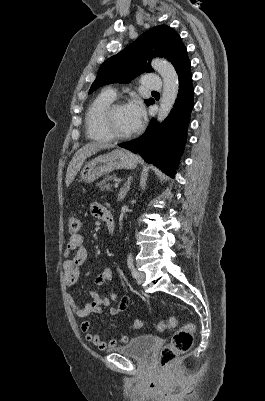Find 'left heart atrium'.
<instances>
[{"label":"left heart atrium","instance_id":"left-heart-atrium-1","mask_svg":"<svg viewBox=\"0 0 265 401\" xmlns=\"http://www.w3.org/2000/svg\"><path fill=\"white\" fill-rule=\"evenodd\" d=\"M127 116L134 129L142 124L145 112L142 102L139 99H133L126 106Z\"/></svg>","mask_w":265,"mask_h":401}]
</instances>
